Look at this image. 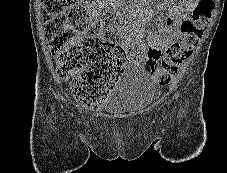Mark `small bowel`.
I'll list each match as a JSON object with an SVG mask.
<instances>
[{"label": "small bowel", "mask_w": 227, "mask_h": 173, "mask_svg": "<svg viewBox=\"0 0 227 173\" xmlns=\"http://www.w3.org/2000/svg\"><path fill=\"white\" fill-rule=\"evenodd\" d=\"M198 0H160V6L168 12L166 17L157 18L159 30L148 36L149 46L165 48L179 36L177 27L189 18ZM151 12L142 10L132 20L123 23V41L118 45L127 54L137 49V54H129L128 59L141 61L144 51V25L151 18Z\"/></svg>", "instance_id": "1"}]
</instances>
